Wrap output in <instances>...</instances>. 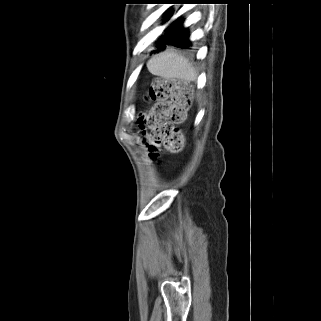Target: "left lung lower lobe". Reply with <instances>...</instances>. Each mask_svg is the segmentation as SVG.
Instances as JSON below:
<instances>
[{
  "label": "left lung lower lobe",
  "mask_w": 321,
  "mask_h": 321,
  "mask_svg": "<svg viewBox=\"0 0 321 321\" xmlns=\"http://www.w3.org/2000/svg\"><path fill=\"white\" fill-rule=\"evenodd\" d=\"M190 0H183L181 4H184ZM167 45H173L178 48L188 49L191 45L189 41V35L186 28L183 27V20L177 19L168 28L165 35L157 43L159 50H164Z\"/></svg>",
  "instance_id": "obj_1"
}]
</instances>
